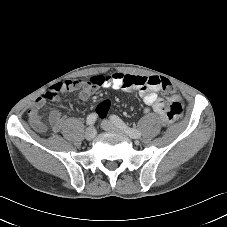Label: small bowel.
Here are the masks:
<instances>
[{
	"label": "small bowel",
	"instance_id": "obj_1",
	"mask_svg": "<svg viewBox=\"0 0 227 227\" xmlns=\"http://www.w3.org/2000/svg\"><path fill=\"white\" fill-rule=\"evenodd\" d=\"M95 78L100 79L99 84H89L74 79L54 84L45 94L38 97L29 109L28 119L32 127L39 132H45L47 127L40 115L41 108L48 101L58 100V96L61 93L74 90L81 86L83 89L80 92V99L83 102L89 101L97 87H111L126 92L137 91L146 104L145 111L147 112L152 109L161 116L164 122H174L183 116L182 100L179 95L171 93L166 99H163L158 95L161 87L149 83V80L152 78H160L158 76L145 77L113 73L95 76ZM49 120L53 129L59 131L64 118L58 110H54L50 114Z\"/></svg>",
	"mask_w": 227,
	"mask_h": 227
}]
</instances>
